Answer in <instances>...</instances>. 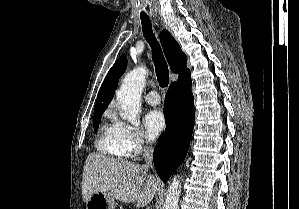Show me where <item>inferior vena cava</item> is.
Returning <instances> with one entry per match:
<instances>
[{"mask_svg": "<svg viewBox=\"0 0 299 209\" xmlns=\"http://www.w3.org/2000/svg\"><path fill=\"white\" fill-rule=\"evenodd\" d=\"M144 157H145V164L144 167L148 169L153 164V149L150 148L149 150H144Z\"/></svg>", "mask_w": 299, "mask_h": 209, "instance_id": "obj_1", "label": "inferior vena cava"}]
</instances>
